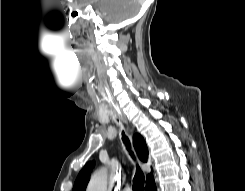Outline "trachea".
Returning <instances> with one entry per match:
<instances>
[{"instance_id": "3493384b", "label": "trachea", "mask_w": 245, "mask_h": 191, "mask_svg": "<svg viewBox=\"0 0 245 191\" xmlns=\"http://www.w3.org/2000/svg\"><path fill=\"white\" fill-rule=\"evenodd\" d=\"M122 139L127 149L130 150V142L125 136L124 132L122 133ZM130 154L132 155V157H134L132 152H130ZM144 179V174L141 171L140 167L137 165V171L133 178V191H144Z\"/></svg>"}]
</instances>
